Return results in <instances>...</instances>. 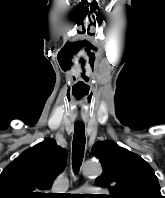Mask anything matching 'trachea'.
I'll return each mask as SVG.
<instances>
[{
  "label": "trachea",
  "mask_w": 165,
  "mask_h": 198,
  "mask_svg": "<svg viewBox=\"0 0 165 198\" xmlns=\"http://www.w3.org/2000/svg\"><path fill=\"white\" fill-rule=\"evenodd\" d=\"M85 150V126L75 124L74 137L72 143V164L74 171H78L81 166Z\"/></svg>",
  "instance_id": "obj_1"
}]
</instances>
